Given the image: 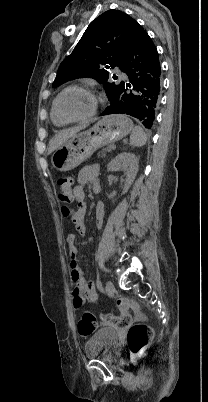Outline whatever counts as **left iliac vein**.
<instances>
[{"mask_svg": "<svg viewBox=\"0 0 208 402\" xmlns=\"http://www.w3.org/2000/svg\"><path fill=\"white\" fill-rule=\"evenodd\" d=\"M105 290H106V293L108 295H110V296L114 294L115 288H114V285H113V283L111 281L106 282Z\"/></svg>", "mask_w": 208, "mask_h": 402, "instance_id": "1", "label": "left iliac vein"}]
</instances>
